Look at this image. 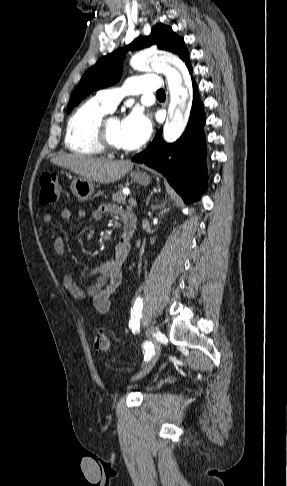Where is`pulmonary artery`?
Wrapping results in <instances>:
<instances>
[{"label":"pulmonary artery","mask_w":287,"mask_h":486,"mask_svg":"<svg viewBox=\"0 0 287 486\" xmlns=\"http://www.w3.org/2000/svg\"><path fill=\"white\" fill-rule=\"evenodd\" d=\"M160 86V80L156 75L133 77L127 80L123 88L100 90L95 98L109 110H114L124 95L157 92Z\"/></svg>","instance_id":"obj_1"}]
</instances>
